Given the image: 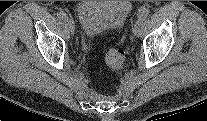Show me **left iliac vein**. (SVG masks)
<instances>
[{"label": "left iliac vein", "mask_w": 207, "mask_h": 121, "mask_svg": "<svg viewBox=\"0 0 207 121\" xmlns=\"http://www.w3.org/2000/svg\"><path fill=\"white\" fill-rule=\"evenodd\" d=\"M141 20L140 19H137L133 25V28H132V33L135 37H138L140 35V32H141Z\"/></svg>", "instance_id": "left-iliac-vein-1"}]
</instances>
